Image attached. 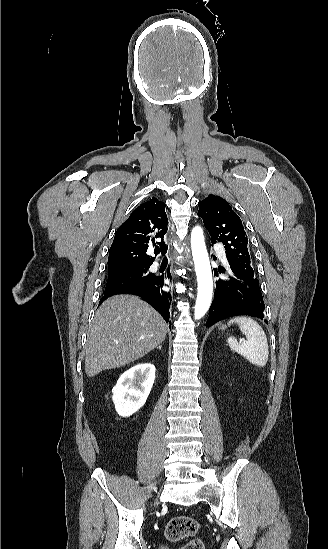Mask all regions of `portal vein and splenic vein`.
I'll list each match as a JSON object with an SVG mask.
<instances>
[{
    "instance_id": "1",
    "label": "portal vein and splenic vein",
    "mask_w": 328,
    "mask_h": 549,
    "mask_svg": "<svg viewBox=\"0 0 328 549\" xmlns=\"http://www.w3.org/2000/svg\"><path fill=\"white\" fill-rule=\"evenodd\" d=\"M240 343H245V341H244V340H242V339H240Z\"/></svg>"
}]
</instances>
